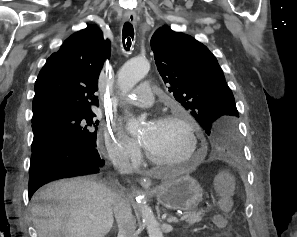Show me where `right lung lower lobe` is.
Returning <instances> with one entry per match:
<instances>
[{
  "mask_svg": "<svg viewBox=\"0 0 297 237\" xmlns=\"http://www.w3.org/2000/svg\"><path fill=\"white\" fill-rule=\"evenodd\" d=\"M29 196L51 181L97 174L104 165L95 146L64 136H52L31 147Z\"/></svg>",
  "mask_w": 297,
  "mask_h": 237,
  "instance_id": "98d812e1",
  "label": "right lung lower lobe"
}]
</instances>
